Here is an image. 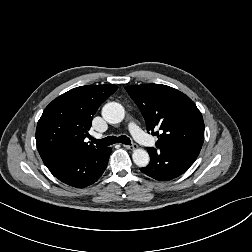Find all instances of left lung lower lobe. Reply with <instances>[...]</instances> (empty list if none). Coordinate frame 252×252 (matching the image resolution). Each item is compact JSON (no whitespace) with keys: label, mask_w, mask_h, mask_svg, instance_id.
<instances>
[{"label":"left lung lower lobe","mask_w":252,"mask_h":252,"mask_svg":"<svg viewBox=\"0 0 252 252\" xmlns=\"http://www.w3.org/2000/svg\"><path fill=\"white\" fill-rule=\"evenodd\" d=\"M150 163L140 170L159 180H171L183 174L196 160L198 153L184 149H156L148 147Z\"/></svg>","instance_id":"obj_1"}]
</instances>
